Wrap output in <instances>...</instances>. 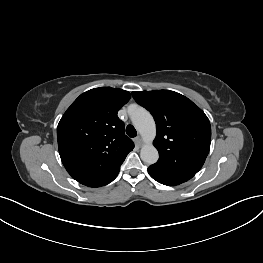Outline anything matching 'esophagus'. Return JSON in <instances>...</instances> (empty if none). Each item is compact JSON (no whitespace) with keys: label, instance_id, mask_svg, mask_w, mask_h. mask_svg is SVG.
I'll return each mask as SVG.
<instances>
[{"label":"esophagus","instance_id":"1","mask_svg":"<svg viewBox=\"0 0 263 263\" xmlns=\"http://www.w3.org/2000/svg\"><path fill=\"white\" fill-rule=\"evenodd\" d=\"M135 142H136V144H137L138 146H141L142 143H143L142 138H141L140 136H137V137L135 138Z\"/></svg>","mask_w":263,"mask_h":263}]
</instances>
